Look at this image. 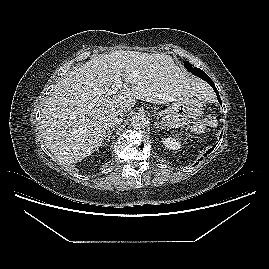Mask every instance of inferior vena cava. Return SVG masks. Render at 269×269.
<instances>
[{
    "mask_svg": "<svg viewBox=\"0 0 269 269\" xmlns=\"http://www.w3.org/2000/svg\"><path fill=\"white\" fill-rule=\"evenodd\" d=\"M124 113L122 111L110 112L106 117V123L108 127L114 128L120 125L123 121Z\"/></svg>",
    "mask_w": 269,
    "mask_h": 269,
    "instance_id": "1",
    "label": "inferior vena cava"
}]
</instances>
